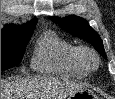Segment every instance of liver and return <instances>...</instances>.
<instances>
[{
  "label": "liver",
  "instance_id": "liver-1",
  "mask_svg": "<svg viewBox=\"0 0 115 99\" xmlns=\"http://www.w3.org/2000/svg\"><path fill=\"white\" fill-rule=\"evenodd\" d=\"M83 88L81 84L60 78H18L1 81V99H65Z\"/></svg>",
  "mask_w": 115,
  "mask_h": 99
}]
</instances>
